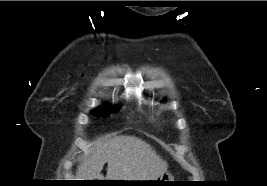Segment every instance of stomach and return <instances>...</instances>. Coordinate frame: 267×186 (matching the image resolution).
<instances>
[{
	"label": "stomach",
	"mask_w": 267,
	"mask_h": 186,
	"mask_svg": "<svg viewBox=\"0 0 267 186\" xmlns=\"http://www.w3.org/2000/svg\"><path fill=\"white\" fill-rule=\"evenodd\" d=\"M173 179L174 177L172 176L171 173L165 172L162 175H160L157 179L151 180L155 182H150L149 185H168L167 184L168 182H164V181H174Z\"/></svg>",
	"instance_id": "0dacf381"
}]
</instances>
